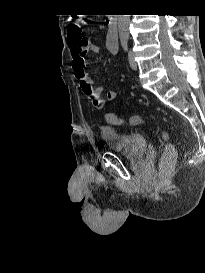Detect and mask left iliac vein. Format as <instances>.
<instances>
[{
	"label": "left iliac vein",
	"mask_w": 205,
	"mask_h": 273,
	"mask_svg": "<svg viewBox=\"0 0 205 273\" xmlns=\"http://www.w3.org/2000/svg\"><path fill=\"white\" fill-rule=\"evenodd\" d=\"M128 58H129L130 67L133 70H137L138 65H137L136 61L134 60V55H133V52L131 50L129 51Z\"/></svg>",
	"instance_id": "obj_1"
}]
</instances>
